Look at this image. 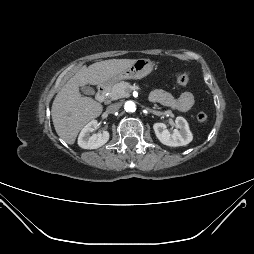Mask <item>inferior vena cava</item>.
Masks as SVG:
<instances>
[{
  "label": "inferior vena cava",
  "mask_w": 254,
  "mask_h": 254,
  "mask_svg": "<svg viewBox=\"0 0 254 254\" xmlns=\"http://www.w3.org/2000/svg\"><path fill=\"white\" fill-rule=\"evenodd\" d=\"M120 107H121L120 103H113L107 107V112L114 113V112L118 111L120 109Z\"/></svg>",
  "instance_id": "1"
}]
</instances>
